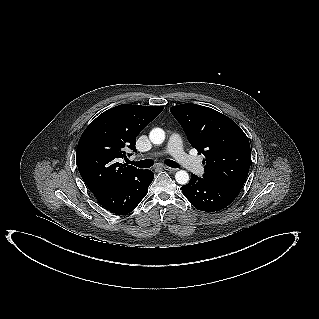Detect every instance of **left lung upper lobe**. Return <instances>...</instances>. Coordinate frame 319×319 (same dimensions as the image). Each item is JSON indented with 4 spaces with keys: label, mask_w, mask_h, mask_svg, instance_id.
I'll list each match as a JSON object with an SVG mask.
<instances>
[{
    "label": "left lung upper lobe",
    "mask_w": 319,
    "mask_h": 319,
    "mask_svg": "<svg viewBox=\"0 0 319 319\" xmlns=\"http://www.w3.org/2000/svg\"><path fill=\"white\" fill-rule=\"evenodd\" d=\"M170 111L192 146L205 156L203 178L239 193L251 163L249 141L241 128L227 116L197 104L173 106Z\"/></svg>",
    "instance_id": "left-lung-upper-lobe-1"
}]
</instances>
